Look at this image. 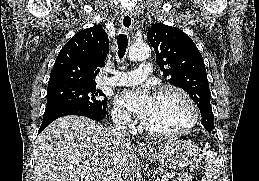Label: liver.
<instances>
[{
  "label": "liver",
  "mask_w": 259,
  "mask_h": 181,
  "mask_svg": "<svg viewBox=\"0 0 259 181\" xmlns=\"http://www.w3.org/2000/svg\"><path fill=\"white\" fill-rule=\"evenodd\" d=\"M35 181H105L116 166L127 177L136 160L131 143L86 117L65 116L37 138Z\"/></svg>",
  "instance_id": "obj_1"
}]
</instances>
